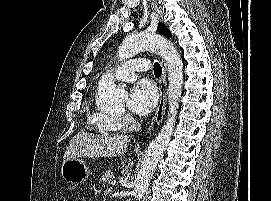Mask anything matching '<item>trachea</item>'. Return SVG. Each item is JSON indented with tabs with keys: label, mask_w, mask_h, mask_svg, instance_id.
Returning <instances> with one entry per match:
<instances>
[{
	"label": "trachea",
	"mask_w": 271,
	"mask_h": 201,
	"mask_svg": "<svg viewBox=\"0 0 271 201\" xmlns=\"http://www.w3.org/2000/svg\"><path fill=\"white\" fill-rule=\"evenodd\" d=\"M154 74L156 77H160L162 74V67L158 62L154 63Z\"/></svg>",
	"instance_id": "trachea-1"
}]
</instances>
